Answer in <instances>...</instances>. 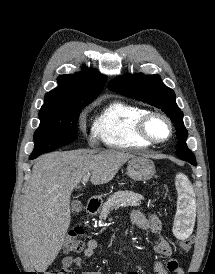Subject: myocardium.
I'll use <instances>...</instances> for the list:
<instances>
[{
  "label": "myocardium",
  "mask_w": 215,
  "mask_h": 274,
  "mask_svg": "<svg viewBox=\"0 0 215 274\" xmlns=\"http://www.w3.org/2000/svg\"><path fill=\"white\" fill-rule=\"evenodd\" d=\"M154 119H161L167 124L169 132L166 138L156 139L150 133L149 126ZM137 131L140 137L147 141L149 144L160 145L168 142L172 138L174 128L171 119L167 115L161 112L149 111L139 120L137 124Z\"/></svg>",
  "instance_id": "1"
}]
</instances>
